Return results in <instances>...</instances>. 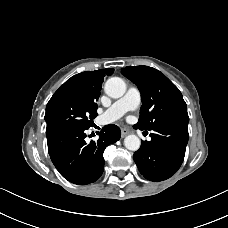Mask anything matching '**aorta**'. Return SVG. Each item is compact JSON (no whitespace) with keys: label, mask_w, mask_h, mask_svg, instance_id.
Here are the masks:
<instances>
[{"label":"aorta","mask_w":228,"mask_h":228,"mask_svg":"<svg viewBox=\"0 0 228 228\" xmlns=\"http://www.w3.org/2000/svg\"><path fill=\"white\" fill-rule=\"evenodd\" d=\"M105 93L111 98H120L126 91V84L119 77L109 78L104 86ZM125 147L130 151H137L140 148L141 142L136 135H128L124 139Z\"/></svg>","instance_id":"1"}]
</instances>
